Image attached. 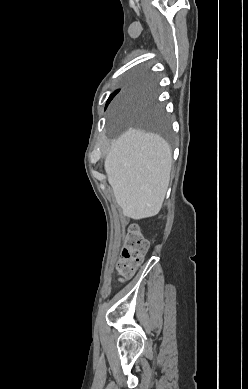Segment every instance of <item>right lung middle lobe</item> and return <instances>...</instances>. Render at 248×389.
<instances>
[{
	"label": "right lung middle lobe",
	"mask_w": 248,
	"mask_h": 389,
	"mask_svg": "<svg viewBox=\"0 0 248 389\" xmlns=\"http://www.w3.org/2000/svg\"><path fill=\"white\" fill-rule=\"evenodd\" d=\"M118 92L119 90L110 95L106 107ZM126 112L135 125L154 131L168 141L172 140L163 110L156 104L151 92L146 90L140 98L127 106Z\"/></svg>",
	"instance_id": "1"
}]
</instances>
